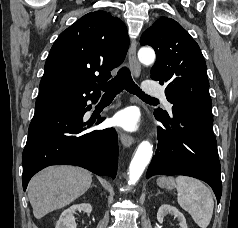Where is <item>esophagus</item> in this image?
<instances>
[{
    "mask_svg": "<svg viewBox=\"0 0 238 228\" xmlns=\"http://www.w3.org/2000/svg\"><path fill=\"white\" fill-rule=\"evenodd\" d=\"M136 47L137 44L136 41L134 40L132 41L128 51V60L132 73L136 77H139L141 73V66L136 56ZM119 137L124 147H130L134 142V137L125 132H120Z\"/></svg>",
    "mask_w": 238,
    "mask_h": 228,
    "instance_id": "obj_1",
    "label": "esophagus"
}]
</instances>
